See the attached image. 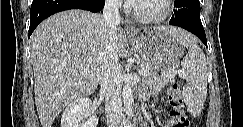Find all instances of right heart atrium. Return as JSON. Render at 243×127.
Wrapping results in <instances>:
<instances>
[{"mask_svg":"<svg viewBox=\"0 0 243 127\" xmlns=\"http://www.w3.org/2000/svg\"><path fill=\"white\" fill-rule=\"evenodd\" d=\"M107 5H108L110 8H112V9H117V8H119V6H120V1H118V0H109V1L107 2Z\"/></svg>","mask_w":243,"mask_h":127,"instance_id":"obj_1","label":"right heart atrium"}]
</instances>
